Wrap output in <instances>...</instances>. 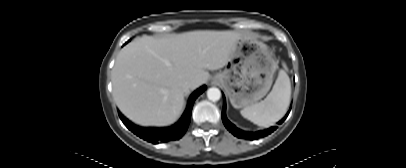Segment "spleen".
<instances>
[{
	"label": "spleen",
	"mask_w": 406,
	"mask_h": 168,
	"mask_svg": "<svg viewBox=\"0 0 406 168\" xmlns=\"http://www.w3.org/2000/svg\"><path fill=\"white\" fill-rule=\"evenodd\" d=\"M286 69V65L284 64ZM285 69H281L271 92L267 97L240 111L241 115L262 127H269L279 121L287 112L291 97V84Z\"/></svg>",
	"instance_id": "1"
}]
</instances>
